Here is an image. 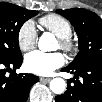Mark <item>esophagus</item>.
<instances>
[{"mask_svg":"<svg viewBox=\"0 0 102 102\" xmlns=\"http://www.w3.org/2000/svg\"><path fill=\"white\" fill-rule=\"evenodd\" d=\"M51 78H46V77H41L40 81L44 82V83H48L50 82Z\"/></svg>","mask_w":102,"mask_h":102,"instance_id":"1","label":"esophagus"}]
</instances>
